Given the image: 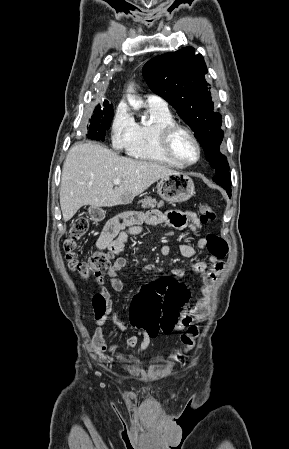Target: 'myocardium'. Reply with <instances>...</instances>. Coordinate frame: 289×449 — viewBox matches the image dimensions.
I'll list each match as a JSON object with an SVG mask.
<instances>
[{"label":"myocardium","mask_w":289,"mask_h":449,"mask_svg":"<svg viewBox=\"0 0 289 449\" xmlns=\"http://www.w3.org/2000/svg\"><path fill=\"white\" fill-rule=\"evenodd\" d=\"M183 133L185 134L196 146L197 148V158L193 161V162H185L182 161L181 159H179L173 149V141L176 135ZM159 141H160V146L162 148L163 153L174 163L182 166V167H190L193 166L195 164H197L202 156V147L201 144L199 142V140L197 139V137L194 135V133L182 126L179 125L177 123L175 124H171V125H167L165 127H163L160 130L159 133Z\"/></svg>","instance_id":"myocardium-1"}]
</instances>
